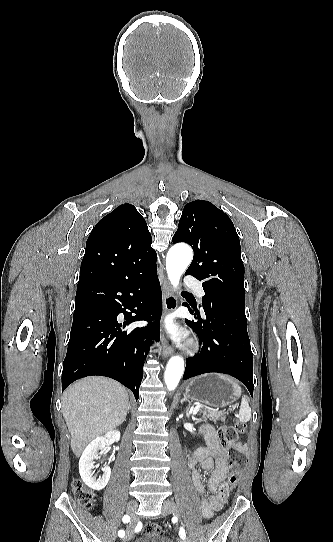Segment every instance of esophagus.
Returning <instances> with one entry per match:
<instances>
[{
	"mask_svg": "<svg viewBox=\"0 0 333 542\" xmlns=\"http://www.w3.org/2000/svg\"><path fill=\"white\" fill-rule=\"evenodd\" d=\"M163 287H164V290H163L164 313L167 314L169 312L176 310L178 306V302L166 278L164 279ZM172 353H173V348L171 347L167 338L163 336L162 337L163 358H168Z\"/></svg>",
	"mask_w": 333,
	"mask_h": 542,
	"instance_id": "obj_1",
	"label": "esophagus"
}]
</instances>
